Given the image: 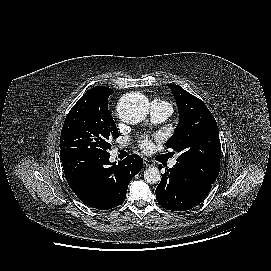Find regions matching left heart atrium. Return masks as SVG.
<instances>
[{
  "mask_svg": "<svg viewBox=\"0 0 271 271\" xmlns=\"http://www.w3.org/2000/svg\"><path fill=\"white\" fill-rule=\"evenodd\" d=\"M140 147L143 151H149L152 148V144L148 138H144L140 142Z\"/></svg>",
  "mask_w": 271,
  "mask_h": 271,
  "instance_id": "left-heart-atrium-1",
  "label": "left heart atrium"
}]
</instances>
